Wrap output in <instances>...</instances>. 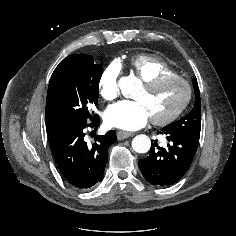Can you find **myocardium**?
Masks as SVG:
<instances>
[{"mask_svg": "<svg viewBox=\"0 0 236 236\" xmlns=\"http://www.w3.org/2000/svg\"><path fill=\"white\" fill-rule=\"evenodd\" d=\"M168 81L182 82L186 87V96H185L184 101L174 111H172L168 115L164 117H152L151 121L155 125H166L173 122L175 119H177L186 109L192 97V88H191L190 83L185 78L177 74H167V75H161V76L155 77L149 81L143 82L142 87L145 90H153Z\"/></svg>", "mask_w": 236, "mask_h": 236, "instance_id": "myocardium-1", "label": "myocardium"}]
</instances>
